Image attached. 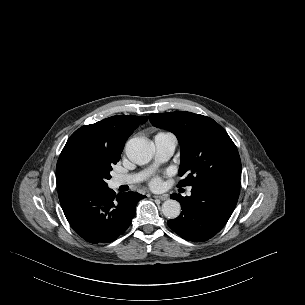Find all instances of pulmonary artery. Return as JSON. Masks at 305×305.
Here are the masks:
<instances>
[{
    "instance_id": "1",
    "label": "pulmonary artery",
    "mask_w": 305,
    "mask_h": 305,
    "mask_svg": "<svg viewBox=\"0 0 305 305\" xmlns=\"http://www.w3.org/2000/svg\"><path fill=\"white\" fill-rule=\"evenodd\" d=\"M177 145L176 138L169 133H158L154 137V146L156 151L157 162L167 161L174 153ZM151 169L129 175H116L112 179L114 187L121 185L134 184L142 181L148 176Z\"/></svg>"
}]
</instances>
